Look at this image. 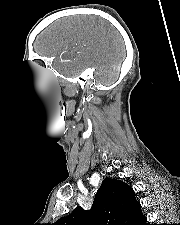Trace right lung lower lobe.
Returning <instances> with one entry per match:
<instances>
[{"instance_id":"1","label":"right lung lower lobe","mask_w":180,"mask_h":225,"mask_svg":"<svg viewBox=\"0 0 180 225\" xmlns=\"http://www.w3.org/2000/svg\"><path fill=\"white\" fill-rule=\"evenodd\" d=\"M146 221H147V219H146V217L143 219V221L141 222V223H139V225H149V224H147L146 223Z\"/></svg>"}]
</instances>
